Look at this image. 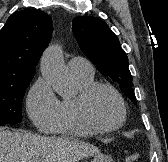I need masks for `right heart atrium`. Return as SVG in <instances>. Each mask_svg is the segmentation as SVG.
<instances>
[{
	"mask_svg": "<svg viewBox=\"0 0 168 162\" xmlns=\"http://www.w3.org/2000/svg\"><path fill=\"white\" fill-rule=\"evenodd\" d=\"M26 107L31 120L42 132L51 131L61 118L60 101L44 78H38L30 88Z\"/></svg>",
	"mask_w": 168,
	"mask_h": 162,
	"instance_id": "obj_1",
	"label": "right heart atrium"
}]
</instances>
